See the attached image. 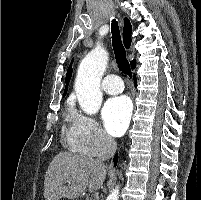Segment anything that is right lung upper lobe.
<instances>
[{
  "label": "right lung upper lobe",
  "instance_id": "right-lung-upper-lobe-1",
  "mask_svg": "<svg viewBox=\"0 0 201 200\" xmlns=\"http://www.w3.org/2000/svg\"><path fill=\"white\" fill-rule=\"evenodd\" d=\"M131 32H132V26L130 24V21L127 18H125L124 28H123V42H124V45H125L126 48H129L130 45H131ZM131 66L133 68H135V66H136V61L135 60H133L131 62ZM71 75H72V64H70V66H69V68L67 70L66 88H65V91H64V96L66 95V92L68 90V84H69Z\"/></svg>",
  "mask_w": 201,
  "mask_h": 200
}]
</instances>
